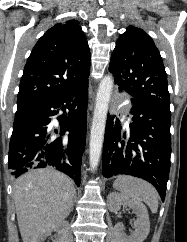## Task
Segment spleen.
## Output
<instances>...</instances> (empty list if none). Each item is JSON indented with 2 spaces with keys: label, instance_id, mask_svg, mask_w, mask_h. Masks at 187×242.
Returning <instances> with one entry per match:
<instances>
[{
  "label": "spleen",
  "instance_id": "3e777b00",
  "mask_svg": "<svg viewBox=\"0 0 187 242\" xmlns=\"http://www.w3.org/2000/svg\"><path fill=\"white\" fill-rule=\"evenodd\" d=\"M113 187L127 198L145 202L152 213H157L159 195L150 183L139 178L120 175L114 181Z\"/></svg>",
  "mask_w": 187,
  "mask_h": 242
}]
</instances>
